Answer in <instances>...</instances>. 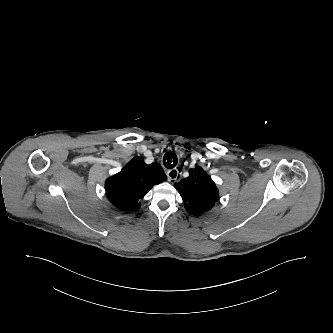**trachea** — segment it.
Segmentation results:
<instances>
[{"label":"trachea","instance_id":"obj_1","mask_svg":"<svg viewBox=\"0 0 333 333\" xmlns=\"http://www.w3.org/2000/svg\"><path fill=\"white\" fill-rule=\"evenodd\" d=\"M177 162V156L173 152H168L163 157V164L168 169L174 168L177 165Z\"/></svg>","mask_w":333,"mask_h":333}]
</instances>
